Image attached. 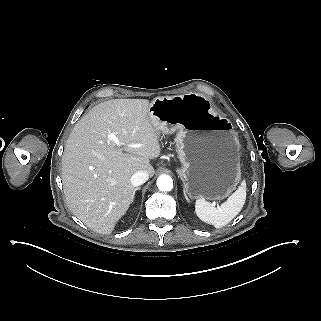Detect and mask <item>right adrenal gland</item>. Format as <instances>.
Returning a JSON list of instances; mask_svg holds the SVG:
<instances>
[{
	"label": "right adrenal gland",
	"mask_w": 321,
	"mask_h": 321,
	"mask_svg": "<svg viewBox=\"0 0 321 321\" xmlns=\"http://www.w3.org/2000/svg\"><path fill=\"white\" fill-rule=\"evenodd\" d=\"M138 190H140V187H137V188L134 189V191H133V193H132V200H131V201H133L134 196H135V193H136V191H138Z\"/></svg>",
	"instance_id": "2a0ac1e0"
}]
</instances>
